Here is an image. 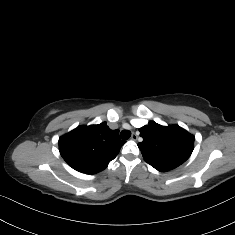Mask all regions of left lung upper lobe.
Listing matches in <instances>:
<instances>
[{
  "instance_id": "5c2ea615",
  "label": "left lung upper lobe",
  "mask_w": 235,
  "mask_h": 235,
  "mask_svg": "<svg viewBox=\"0 0 235 235\" xmlns=\"http://www.w3.org/2000/svg\"><path fill=\"white\" fill-rule=\"evenodd\" d=\"M143 138L138 147L143 158L154 168H176L183 164L194 148V136L178 125L162 126L154 121L139 129Z\"/></svg>"
}]
</instances>
